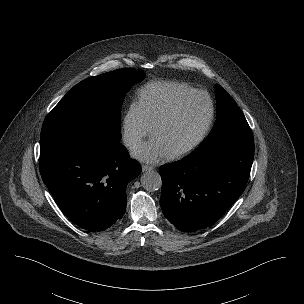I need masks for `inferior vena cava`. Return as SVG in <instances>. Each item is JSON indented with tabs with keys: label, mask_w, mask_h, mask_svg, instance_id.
Segmentation results:
<instances>
[{
	"label": "inferior vena cava",
	"mask_w": 304,
	"mask_h": 304,
	"mask_svg": "<svg viewBox=\"0 0 304 304\" xmlns=\"http://www.w3.org/2000/svg\"><path fill=\"white\" fill-rule=\"evenodd\" d=\"M125 144L129 147H131L134 144V140L133 139H125Z\"/></svg>",
	"instance_id": "obj_1"
}]
</instances>
